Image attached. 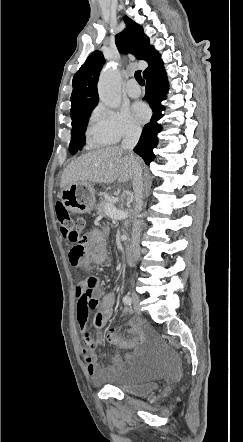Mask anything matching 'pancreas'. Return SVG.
I'll use <instances>...</instances> for the list:
<instances>
[{"label": "pancreas", "instance_id": "obj_1", "mask_svg": "<svg viewBox=\"0 0 243 442\" xmlns=\"http://www.w3.org/2000/svg\"><path fill=\"white\" fill-rule=\"evenodd\" d=\"M107 205H113V206H114L113 202H111V201L108 200V199H103V200H101L100 203L97 204V206H96L97 214L100 215V216H102V217H106V218H107L108 215H107V213H106V211H105V207H106Z\"/></svg>", "mask_w": 243, "mask_h": 442}]
</instances>
